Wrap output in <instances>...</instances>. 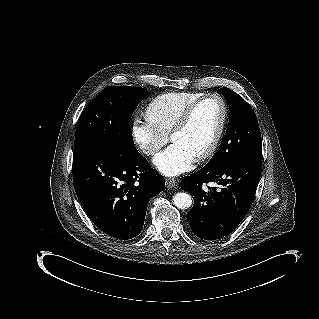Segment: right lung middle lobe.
I'll return each mask as SVG.
<instances>
[{"instance_id": "1", "label": "right lung middle lobe", "mask_w": 319, "mask_h": 319, "mask_svg": "<svg viewBox=\"0 0 319 319\" xmlns=\"http://www.w3.org/2000/svg\"><path fill=\"white\" fill-rule=\"evenodd\" d=\"M149 95L146 89L139 87L109 86L103 89L79 117L74 149L102 143L134 149L129 122L135 107Z\"/></svg>"}]
</instances>
